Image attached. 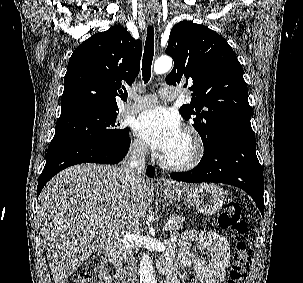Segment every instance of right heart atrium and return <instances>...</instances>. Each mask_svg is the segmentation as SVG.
I'll return each instance as SVG.
<instances>
[{"label":"right heart atrium","instance_id":"obj_1","mask_svg":"<svg viewBox=\"0 0 303 283\" xmlns=\"http://www.w3.org/2000/svg\"><path fill=\"white\" fill-rule=\"evenodd\" d=\"M131 153L138 158H145L148 154V148L144 142L139 139H133L130 145Z\"/></svg>","mask_w":303,"mask_h":283}]
</instances>
